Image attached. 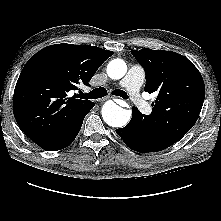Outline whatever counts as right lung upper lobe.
Returning <instances> with one entry per match:
<instances>
[{
  "instance_id": "1",
  "label": "right lung upper lobe",
  "mask_w": 221,
  "mask_h": 221,
  "mask_svg": "<svg viewBox=\"0 0 221 221\" xmlns=\"http://www.w3.org/2000/svg\"><path fill=\"white\" fill-rule=\"evenodd\" d=\"M113 54L96 46L63 43L32 56L13 97L14 116L22 131L42 146L73 127L94 103L69 97L68 92L79 83L89 86L97 69Z\"/></svg>"
}]
</instances>
